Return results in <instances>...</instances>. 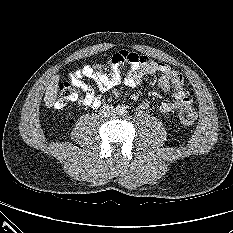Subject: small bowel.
<instances>
[{"mask_svg": "<svg viewBox=\"0 0 233 233\" xmlns=\"http://www.w3.org/2000/svg\"><path fill=\"white\" fill-rule=\"evenodd\" d=\"M111 64L115 69L112 74H107L98 68L94 69L90 65H85L70 74L72 85L81 91L80 104L96 109L102 103L101 96L85 82L86 78L93 80L97 84L99 91L105 93L121 83L127 87L135 88L141 83L144 75L151 73H159V88L165 92L172 90L174 94L175 100L173 102H162L160 104L159 110L161 112L168 113L192 103V97L184 87L181 74L165 63L158 62L145 55L121 50L112 56ZM122 65H128L123 79L119 74ZM148 106L147 101L140 104L141 109H146Z\"/></svg>", "mask_w": 233, "mask_h": 233, "instance_id": "c3829d8e", "label": "small bowel"}]
</instances>
